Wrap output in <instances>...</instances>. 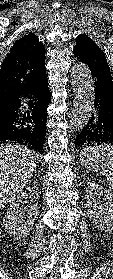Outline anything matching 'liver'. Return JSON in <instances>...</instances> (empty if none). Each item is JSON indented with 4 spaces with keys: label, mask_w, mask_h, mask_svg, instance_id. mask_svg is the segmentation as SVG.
Listing matches in <instances>:
<instances>
[{
    "label": "liver",
    "mask_w": 113,
    "mask_h": 279,
    "mask_svg": "<svg viewBox=\"0 0 113 279\" xmlns=\"http://www.w3.org/2000/svg\"><path fill=\"white\" fill-rule=\"evenodd\" d=\"M38 158V153L23 145H0V207L11 203L26 186Z\"/></svg>",
    "instance_id": "liver-1"
}]
</instances>
